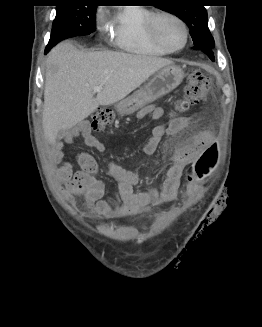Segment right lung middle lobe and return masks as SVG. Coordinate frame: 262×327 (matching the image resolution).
<instances>
[{"label": "right lung middle lobe", "instance_id": "dd1d6c3e", "mask_svg": "<svg viewBox=\"0 0 262 327\" xmlns=\"http://www.w3.org/2000/svg\"><path fill=\"white\" fill-rule=\"evenodd\" d=\"M79 1L61 2L56 6V17L45 52L63 39L88 35L95 31V5H81ZM88 3H92L88 1Z\"/></svg>", "mask_w": 262, "mask_h": 327}]
</instances>
